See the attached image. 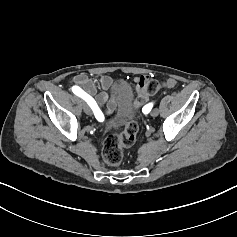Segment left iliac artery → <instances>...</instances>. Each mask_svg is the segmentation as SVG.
I'll list each match as a JSON object with an SVG mask.
<instances>
[{
    "label": "left iliac artery",
    "instance_id": "left-iliac-artery-1",
    "mask_svg": "<svg viewBox=\"0 0 237 237\" xmlns=\"http://www.w3.org/2000/svg\"><path fill=\"white\" fill-rule=\"evenodd\" d=\"M152 106H153L152 103H149V104L145 105V106L143 107V109H142L143 113H144V114H148V113L151 111Z\"/></svg>",
    "mask_w": 237,
    "mask_h": 237
}]
</instances>
